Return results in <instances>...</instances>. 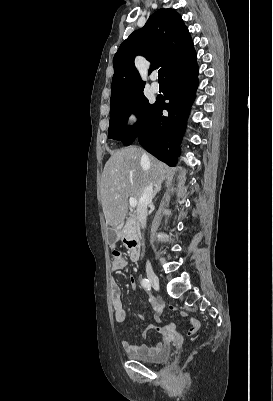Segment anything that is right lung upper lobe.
<instances>
[{"instance_id": "1", "label": "right lung upper lobe", "mask_w": 273, "mask_h": 401, "mask_svg": "<svg viewBox=\"0 0 273 401\" xmlns=\"http://www.w3.org/2000/svg\"><path fill=\"white\" fill-rule=\"evenodd\" d=\"M137 55L151 61L149 73L155 65L162 66L165 77L173 68L196 58L193 41L182 17L173 9H159L120 45L115 54L110 107L143 93L145 83L134 64Z\"/></svg>"}]
</instances>
